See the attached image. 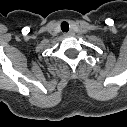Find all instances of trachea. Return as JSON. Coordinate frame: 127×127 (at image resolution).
Instances as JSON below:
<instances>
[{"label": "trachea", "instance_id": "obj_1", "mask_svg": "<svg viewBox=\"0 0 127 127\" xmlns=\"http://www.w3.org/2000/svg\"><path fill=\"white\" fill-rule=\"evenodd\" d=\"M61 30L63 32H68L69 31V24L66 21L61 23Z\"/></svg>", "mask_w": 127, "mask_h": 127}]
</instances>
